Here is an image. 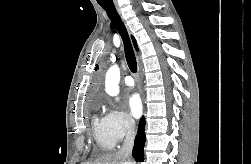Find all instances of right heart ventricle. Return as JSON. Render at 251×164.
<instances>
[{"label": "right heart ventricle", "mask_w": 251, "mask_h": 164, "mask_svg": "<svg viewBox=\"0 0 251 164\" xmlns=\"http://www.w3.org/2000/svg\"><path fill=\"white\" fill-rule=\"evenodd\" d=\"M92 130L96 144L101 151L106 152L114 148L116 142L109 133L104 118L94 116Z\"/></svg>", "instance_id": "obj_1"}]
</instances>
